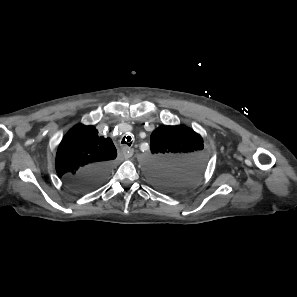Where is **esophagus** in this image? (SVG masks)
<instances>
[{"label": "esophagus", "mask_w": 297, "mask_h": 297, "mask_svg": "<svg viewBox=\"0 0 297 297\" xmlns=\"http://www.w3.org/2000/svg\"><path fill=\"white\" fill-rule=\"evenodd\" d=\"M122 152H123V155L126 159L132 157L133 153H134V150L128 146H124L122 147Z\"/></svg>", "instance_id": "1"}]
</instances>
